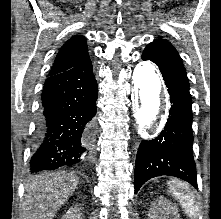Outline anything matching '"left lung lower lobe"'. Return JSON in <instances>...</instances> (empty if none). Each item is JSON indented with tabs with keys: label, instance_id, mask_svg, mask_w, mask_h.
Wrapping results in <instances>:
<instances>
[{
	"label": "left lung lower lobe",
	"instance_id": "1",
	"mask_svg": "<svg viewBox=\"0 0 221 219\" xmlns=\"http://www.w3.org/2000/svg\"><path fill=\"white\" fill-rule=\"evenodd\" d=\"M143 60L160 69L170 95L171 108L164 130L153 140L142 141L135 163V193L149 179L168 175L181 178L197 188L192 152V100L189 81L178 54L147 46Z\"/></svg>",
	"mask_w": 221,
	"mask_h": 219
}]
</instances>
